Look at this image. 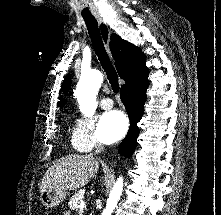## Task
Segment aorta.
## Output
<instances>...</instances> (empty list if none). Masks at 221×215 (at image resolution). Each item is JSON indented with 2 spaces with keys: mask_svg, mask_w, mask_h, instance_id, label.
I'll return each instance as SVG.
<instances>
[{
  "mask_svg": "<svg viewBox=\"0 0 221 215\" xmlns=\"http://www.w3.org/2000/svg\"><path fill=\"white\" fill-rule=\"evenodd\" d=\"M103 75L99 71H92L89 74L82 75L77 87L76 96L80 111L86 117H92L96 111V95L102 85ZM123 190V178L119 177L115 182L110 195L107 199L106 208L102 215H111Z\"/></svg>",
  "mask_w": 221,
  "mask_h": 215,
  "instance_id": "762f6f07",
  "label": "aorta"
}]
</instances>
